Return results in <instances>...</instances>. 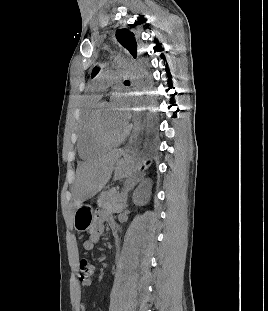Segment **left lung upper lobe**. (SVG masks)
Listing matches in <instances>:
<instances>
[{
	"label": "left lung upper lobe",
	"mask_w": 268,
	"mask_h": 311,
	"mask_svg": "<svg viewBox=\"0 0 268 311\" xmlns=\"http://www.w3.org/2000/svg\"><path fill=\"white\" fill-rule=\"evenodd\" d=\"M116 38L119 43L126 48L134 59L137 58V42L135 40L134 34L127 29H118L116 31ZM99 72V69L95 67L92 71V77H94Z\"/></svg>",
	"instance_id": "5c2ea615"
}]
</instances>
